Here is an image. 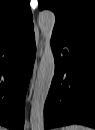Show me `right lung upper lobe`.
<instances>
[{
	"label": "right lung upper lobe",
	"instance_id": "1",
	"mask_svg": "<svg viewBox=\"0 0 95 130\" xmlns=\"http://www.w3.org/2000/svg\"><path fill=\"white\" fill-rule=\"evenodd\" d=\"M31 28L29 0H0V43L18 38Z\"/></svg>",
	"mask_w": 95,
	"mask_h": 130
}]
</instances>
